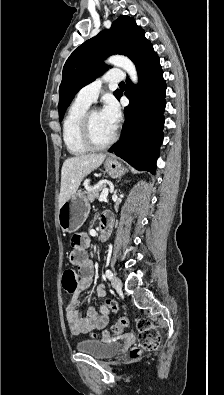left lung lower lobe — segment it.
Instances as JSON below:
<instances>
[{"label":"left lung lower lobe","mask_w":224,"mask_h":395,"mask_svg":"<svg viewBox=\"0 0 224 395\" xmlns=\"http://www.w3.org/2000/svg\"><path fill=\"white\" fill-rule=\"evenodd\" d=\"M134 63L139 76L137 92L127 79L125 96L130 104L124 109L122 137L109 151L137 170L154 174L158 150L163 141L166 84L159 57L151 43L138 54ZM122 95L119 93L117 99Z\"/></svg>","instance_id":"obj_1"}]
</instances>
